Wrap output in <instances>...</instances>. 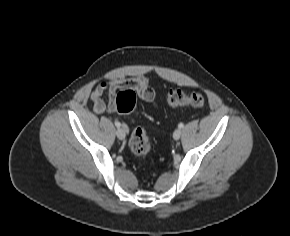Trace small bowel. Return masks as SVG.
<instances>
[{
	"label": "small bowel",
	"instance_id": "1",
	"mask_svg": "<svg viewBox=\"0 0 290 236\" xmlns=\"http://www.w3.org/2000/svg\"><path fill=\"white\" fill-rule=\"evenodd\" d=\"M123 88L133 89L142 100L155 105V91L149 86L148 78L138 75L117 78L97 85L91 94L94 111L97 114H103L106 111L113 112L115 110L116 92ZM105 94L109 96L108 103L104 99Z\"/></svg>",
	"mask_w": 290,
	"mask_h": 236
}]
</instances>
